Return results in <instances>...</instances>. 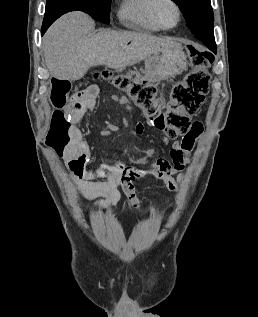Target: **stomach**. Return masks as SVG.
I'll return each mask as SVG.
<instances>
[{"instance_id": "stomach-1", "label": "stomach", "mask_w": 258, "mask_h": 317, "mask_svg": "<svg viewBox=\"0 0 258 317\" xmlns=\"http://www.w3.org/2000/svg\"><path fill=\"white\" fill-rule=\"evenodd\" d=\"M187 56L184 46H175L169 50H161V54H152L144 60L146 74H159V76H173L181 74L187 66Z\"/></svg>"}]
</instances>
